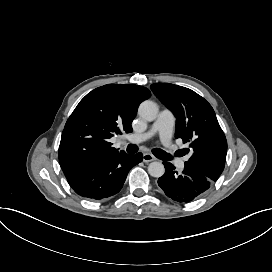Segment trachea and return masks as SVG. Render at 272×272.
I'll list each match as a JSON object with an SVG mask.
<instances>
[{
  "label": "trachea",
  "instance_id": "obj_1",
  "mask_svg": "<svg viewBox=\"0 0 272 272\" xmlns=\"http://www.w3.org/2000/svg\"><path fill=\"white\" fill-rule=\"evenodd\" d=\"M138 151V147L134 144H129L127 146V152L130 154H134ZM153 154L158 157L159 159L162 160H169L171 159V155L166 153L165 151L161 150V149H153L152 150Z\"/></svg>",
  "mask_w": 272,
  "mask_h": 272
}]
</instances>
